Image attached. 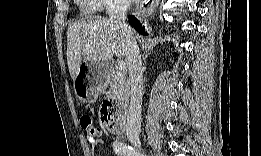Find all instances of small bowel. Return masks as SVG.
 Masks as SVG:
<instances>
[{
	"label": "small bowel",
	"mask_w": 261,
	"mask_h": 156,
	"mask_svg": "<svg viewBox=\"0 0 261 156\" xmlns=\"http://www.w3.org/2000/svg\"><path fill=\"white\" fill-rule=\"evenodd\" d=\"M102 142H103L102 140H99L97 143H99V144H100V143H102ZM117 155H118V154H117Z\"/></svg>",
	"instance_id": "1"
}]
</instances>
